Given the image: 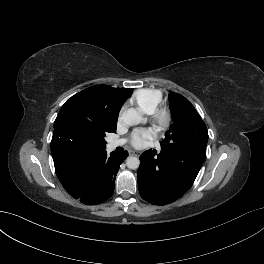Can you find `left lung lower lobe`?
Masks as SVG:
<instances>
[{
    "label": "left lung lower lobe",
    "instance_id": "left-lung-lower-lobe-1",
    "mask_svg": "<svg viewBox=\"0 0 264 264\" xmlns=\"http://www.w3.org/2000/svg\"><path fill=\"white\" fill-rule=\"evenodd\" d=\"M144 152L137 172L141 197L154 205L169 204L193 184L206 156V144L172 151Z\"/></svg>",
    "mask_w": 264,
    "mask_h": 264
}]
</instances>
